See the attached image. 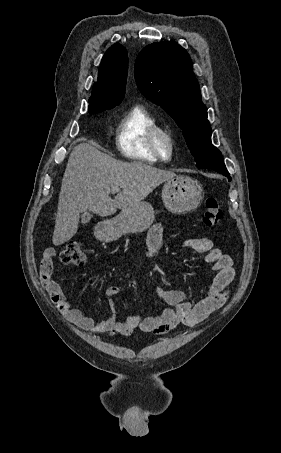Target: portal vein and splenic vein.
Masks as SVG:
<instances>
[{
    "mask_svg": "<svg viewBox=\"0 0 281 453\" xmlns=\"http://www.w3.org/2000/svg\"><path fill=\"white\" fill-rule=\"evenodd\" d=\"M112 190L113 192H116V190H120V188H118V186H113Z\"/></svg>",
    "mask_w": 281,
    "mask_h": 453,
    "instance_id": "obj_1",
    "label": "portal vein and splenic vein"
}]
</instances>
